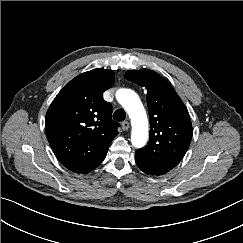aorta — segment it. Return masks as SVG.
<instances>
[{
  "instance_id": "762f6f07",
  "label": "aorta",
  "mask_w": 243,
  "mask_h": 243,
  "mask_svg": "<svg viewBox=\"0 0 243 243\" xmlns=\"http://www.w3.org/2000/svg\"><path fill=\"white\" fill-rule=\"evenodd\" d=\"M118 102L128 112L132 123V145L143 147L148 140V120L138 95L130 89H119L116 93Z\"/></svg>"
}]
</instances>
